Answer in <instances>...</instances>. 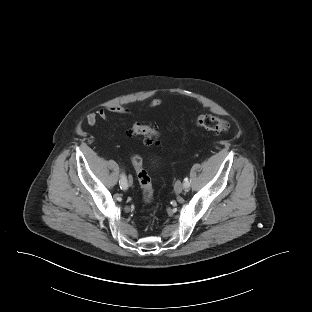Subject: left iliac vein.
I'll list each match as a JSON object with an SVG mask.
<instances>
[{
  "mask_svg": "<svg viewBox=\"0 0 312 312\" xmlns=\"http://www.w3.org/2000/svg\"><path fill=\"white\" fill-rule=\"evenodd\" d=\"M183 189H184V184H182L180 181H177L175 186H174L175 192L181 193Z\"/></svg>",
  "mask_w": 312,
  "mask_h": 312,
  "instance_id": "obj_1",
  "label": "left iliac vein"
}]
</instances>
